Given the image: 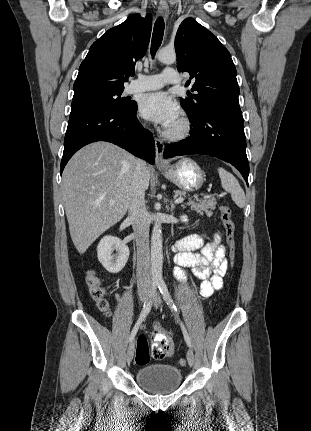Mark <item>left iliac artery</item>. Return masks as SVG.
Listing matches in <instances>:
<instances>
[{"mask_svg": "<svg viewBox=\"0 0 311 431\" xmlns=\"http://www.w3.org/2000/svg\"><path fill=\"white\" fill-rule=\"evenodd\" d=\"M158 288H159L161 294L163 295V298L166 301L167 305L170 307V309L172 310V312H174V314H175V316L177 318V321L179 322V324L181 326V329H182V332H183V335H184V339H185L187 345L189 347H191L192 345H191L190 337H189L188 332H187L186 328L184 327L183 323L180 321V319L177 316V308H176V306H175V304L173 302V299H172V297H171V295H170V293H169V291L167 289L166 284L164 282H160L158 284Z\"/></svg>", "mask_w": 311, "mask_h": 431, "instance_id": "obj_1", "label": "left iliac artery"}]
</instances>
